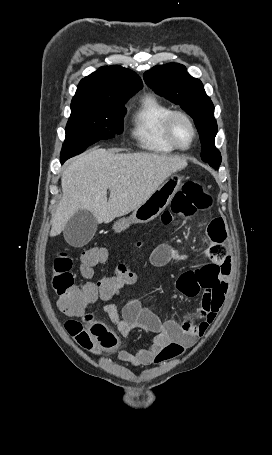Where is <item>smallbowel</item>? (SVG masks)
<instances>
[{"instance_id":"small-bowel-1","label":"small bowel","mask_w":272,"mask_h":455,"mask_svg":"<svg viewBox=\"0 0 272 455\" xmlns=\"http://www.w3.org/2000/svg\"><path fill=\"white\" fill-rule=\"evenodd\" d=\"M206 237L208 262L198 269L186 271L177 282V289L183 295L200 298L197 323L190 320L183 323L162 321L154 311L143 305L140 298L129 300L121 310L115 304L104 307L123 337L135 328L156 334L147 348L138 349L135 353L120 351V362L145 366L176 358L192 347L214 322L225 299L232 266L226 245V228L221 219H213L209 223ZM175 256V250L169 244H160L152 250L150 262L163 266Z\"/></svg>"}]
</instances>
